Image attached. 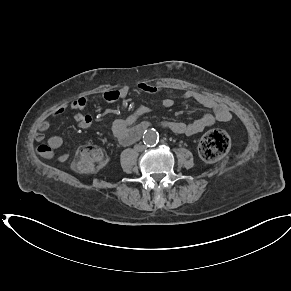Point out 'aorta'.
<instances>
[{
  "label": "aorta",
  "instance_id": "aorta-1",
  "mask_svg": "<svg viewBox=\"0 0 291 291\" xmlns=\"http://www.w3.org/2000/svg\"><path fill=\"white\" fill-rule=\"evenodd\" d=\"M158 133L154 129H148L144 132L143 141L147 146H153L158 141Z\"/></svg>",
  "mask_w": 291,
  "mask_h": 291
}]
</instances>
